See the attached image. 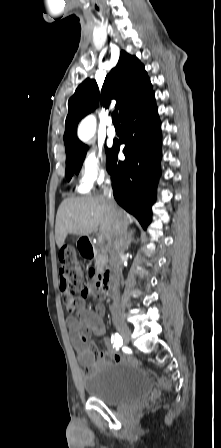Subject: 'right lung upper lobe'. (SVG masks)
I'll use <instances>...</instances> for the list:
<instances>
[{"instance_id": "obj_1", "label": "right lung upper lobe", "mask_w": 221, "mask_h": 448, "mask_svg": "<svg viewBox=\"0 0 221 448\" xmlns=\"http://www.w3.org/2000/svg\"><path fill=\"white\" fill-rule=\"evenodd\" d=\"M152 85L144 66L135 57L121 51L116 67L106 76L101 92V104L108 107L116 99L120 119L129 110L148 98ZM99 105V89L95 80L86 79L68 101L64 143L66 157L75 155L87 146L77 138L78 122Z\"/></svg>"}]
</instances>
